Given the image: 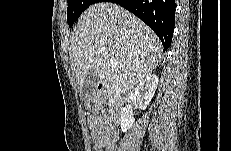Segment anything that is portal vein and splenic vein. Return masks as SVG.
Here are the masks:
<instances>
[{
  "mask_svg": "<svg viewBox=\"0 0 231 151\" xmlns=\"http://www.w3.org/2000/svg\"><path fill=\"white\" fill-rule=\"evenodd\" d=\"M101 55H102V56H106L107 53H106V52H101ZM110 64H112V65H117V62L114 61V60H110Z\"/></svg>",
  "mask_w": 231,
  "mask_h": 151,
  "instance_id": "portal-vein-and-splenic-vein-1",
  "label": "portal vein and splenic vein"
}]
</instances>
